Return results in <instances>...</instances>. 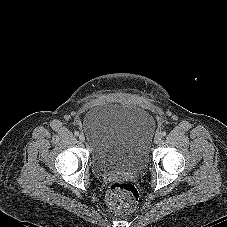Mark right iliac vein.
Returning a JSON list of instances; mask_svg holds the SVG:
<instances>
[{"mask_svg":"<svg viewBox=\"0 0 227 227\" xmlns=\"http://www.w3.org/2000/svg\"><path fill=\"white\" fill-rule=\"evenodd\" d=\"M79 140H80L81 142H85V136H84V134H80V135H79Z\"/></svg>","mask_w":227,"mask_h":227,"instance_id":"obj_1","label":"right iliac vein"}]
</instances>
